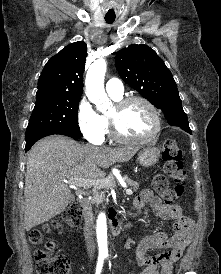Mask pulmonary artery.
I'll return each mask as SVG.
<instances>
[{
  "mask_svg": "<svg viewBox=\"0 0 221 274\" xmlns=\"http://www.w3.org/2000/svg\"><path fill=\"white\" fill-rule=\"evenodd\" d=\"M106 91L109 95L121 97L124 93V86L118 78H110L106 83Z\"/></svg>",
  "mask_w": 221,
  "mask_h": 274,
  "instance_id": "pulmonary-artery-1",
  "label": "pulmonary artery"
}]
</instances>
